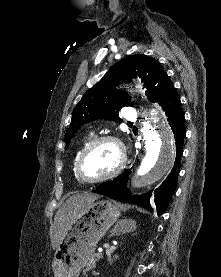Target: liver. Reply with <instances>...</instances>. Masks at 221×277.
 Returning a JSON list of instances; mask_svg holds the SVG:
<instances>
[{
  "label": "liver",
  "instance_id": "obj_1",
  "mask_svg": "<svg viewBox=\"0 0 221 277\" xmlns=\"http://www.w3.org/2000/svg\"><path fill=\"white\" fill-rule=\"evenodd\" d=\"M98 198L99 195L94 193L76 194L68 198L62 207L58 209L54 217V232L51 235L53 249H57L78 214Z\"/></svg>",
  "mask_w": 221,
  "mask_h": 277
}]
</instances>
